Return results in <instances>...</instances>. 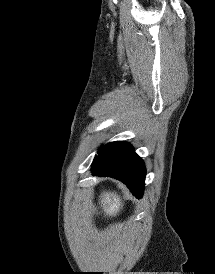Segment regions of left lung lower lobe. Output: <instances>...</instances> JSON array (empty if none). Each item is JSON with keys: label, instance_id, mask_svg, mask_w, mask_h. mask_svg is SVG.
I'll return each mask as SVG.
<instances>
[{"label": "left lung lower lobe", "instance_id": "left-lung-lower-lobe-1", "mask_svg": "<svg viewBox=\"0 0 215 274\" xmlns=\"http://www.w3.org/2000/svg\"><path fill=\"white\" fill-rule=\"evenodd\" d=\"M92 163V174L109 176L125 183L133 195L141 198L145 180V165L127 142H111L101 147Z\"/></svg>", "mask_w": 215, "mask_h": 274}]
</instances>
